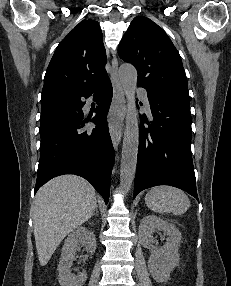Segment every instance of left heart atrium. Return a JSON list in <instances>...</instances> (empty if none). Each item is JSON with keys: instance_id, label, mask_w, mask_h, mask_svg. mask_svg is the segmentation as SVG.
I'll return each instance as SVG.
<instances>
[{"instance_id": "left-heart-atrium-1", "label": "left heart atrium", "mask_w": 231, "mask_h": 286, "mask_svg": "<svg viewBox=\"0 0 231 286\" xmlns=\"http://www.w3.org/2000/svg\"><path fill=\"white\" fill-rule=\"evenodd\" d=\"M122 115L120 111H113L109 118V124L111 128H117L121 124Z\"/></svg>"}]
</instances>
